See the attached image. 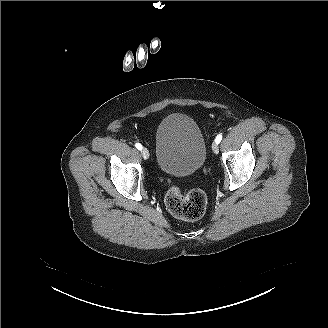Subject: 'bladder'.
Returning <instances> with one entry per match:
<instances>
[{"instance_id":"1","label":"bladder","mask_w":328,"mask_h":328,"mask_svg":"<svg viewBox=\"0 0 328 328\" xmlns=\"http://www.w3.org/2000/svg\"><path fill=\"white\" fill-rule=\"evenodd\" d=\"M205 154V142L192 117L171 114L158 125L156 159L164 173H193L203 165Z\"/></svg>"}]
</instances>
